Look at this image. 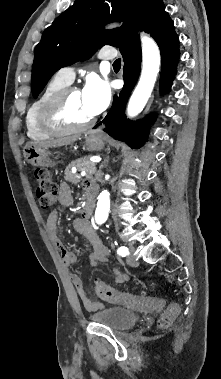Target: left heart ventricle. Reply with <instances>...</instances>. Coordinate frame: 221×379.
Here are the masks:
<instances>
[{"label":"left heart ventricle","mask_w":221,"mask_h":379,"mask_svg":"<svg viewBox=\"0 0 221 379\" xmlns=\"http://www.w3.org/2000/svg\"><path fill=\"white\" fill-rule=\"evenodd\" d=\"M66 116L70 122L75 124L86 122L93 117L86 108L79 90L71 93L66 106Z\"/></svg>","instance_id":"1"}]
</instances>
